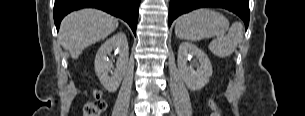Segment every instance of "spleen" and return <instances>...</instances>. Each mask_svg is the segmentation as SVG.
<instances>
[{"label": "spleen", "mask_w": 305, "mask_h": 116, "mask_svg": "<svg viewBox=\"0 0 305 116\" xmlns=\"http://www.w3.org/2000/svg\"><path fill=\"white\" fill-rule=\"evenodd\" d=\"M228 28L229 21L221 13L200 8L178 17L175 34L179 39L191 42L216 37L214 44L223 46L226 43L224 34Z\"/></svg>", "instance_id": "3e777b00"}]
</instances>
